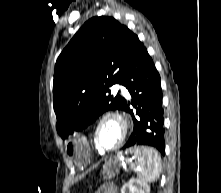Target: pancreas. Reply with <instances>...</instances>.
Instances as JSON below:
<instances>
[{
	"mask_svg": "<svg viewBox=\"0 0 221 193\" xmlns=\"http://www.w3.org/2000/svg\"><path fill=\"white\" fill-rule=\"evenodd\" d=\"M118 169H111L110 167H104L103 169V174H104V179H111L113 178L116 174H118Z\"/></svg>",
	"mask_w": 221,
	"mask_h": 193,
	"instance_id": "obj_1",
	"label": "pancreas"
}]
</instances>
